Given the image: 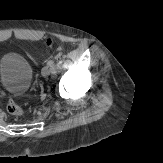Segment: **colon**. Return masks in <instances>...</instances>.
Returning <instances> with one entry per match:
<instances>
[{"label": "colon", "mask_w": 163, "mask_h": 163, "mask_svg": "<svg viewBox=\"0 0 163 163\" xmlns=\"http://www.w3.org/2000/svg\"><path fill=\"white\" fill-rule=\"evenodd\" d=\"M47 45L48 46H52L53 45V41L52 40H48L47 41ZM7 111L9 112V114H11L13 116H21L23 114V109L21 108V106L18 105L13 100L9 101V103L7 105Z\"/></svg>", "instance_id": "5ec220e1"}]
</instances>
